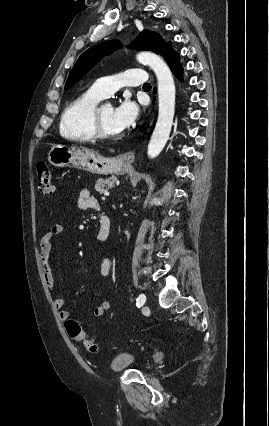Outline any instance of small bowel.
I'll list each match as a JSON object with an SVG mask.
<instances>
[{"label": "small bowel", "mask_w": 269, "mask_h": 426, "mask_svg": "<svg viewBox=\"0 0 269 426\" xmlns=\"http://www.w3.org/2000/svg\"><path fill=\"white\" fill-rule=\"evenodd\" d=\"M78 207L80 209H96L98 208L97 200L90 195L89 191L84 189L81 191L78 199ZM64 233L63 224L57 223L50 227L49 231L45 233L40 240V259L43 268L44 279L46 285L50 290L54 288V274L50 264V255L52 251V240L61 237ZM113 266L111 257H106L101 263V273L106 276L109 274ZM54 307L58 312L59 318L66 321L71 317L69 311L65 309V299L63 296H56L54 298ZM111 307L108 300L99 303L93 310V315L97 318L102 317Z\"/></svg>", "instance_id": "1"}]
</instances>
